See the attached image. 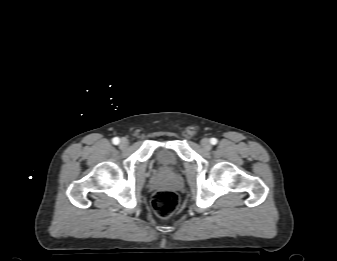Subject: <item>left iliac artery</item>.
Instances as JSON below:
<instances>
[{"label":"left iliac artery","instance_id":"1","mask_svg":"<svg viewBox=\"0 0 337 261\" xmlns=\"http://www.w3.org/2000/svg\"><path fill=\"white\" fill-rule=\"evenodd\" d=\"M210 142H211V144L215 145V144H217V139L216 138H211Z\"/></svg>","mask_w":337,"mask_h":261}]
</instances>
